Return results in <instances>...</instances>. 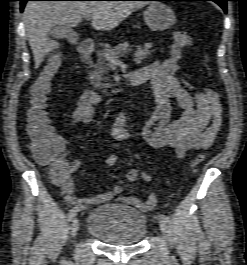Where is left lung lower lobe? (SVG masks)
Instances as JSON below:
<instances>
[{
  "label": "left lung lower lobe",
  "mask_w": 247,
  "mask_h": 265,
  "mask_svg": "<svg viewBox=\"0 0 247 265\" xmlns=\"http://www.w3.org/2000/svg\"><path fill=\"white\" fill-rule=\"evenodd\" d=\"M154 1H213L222 7L225 13H227L226 2L229 0H154Z\"/></svg>",
  "instance_id": "left-lung-lower-lobe-1"
}]
</instances>
